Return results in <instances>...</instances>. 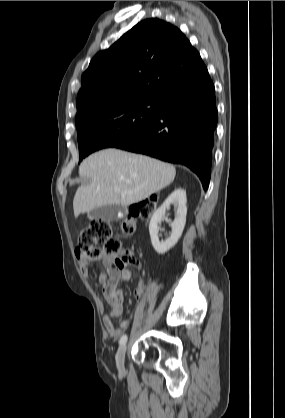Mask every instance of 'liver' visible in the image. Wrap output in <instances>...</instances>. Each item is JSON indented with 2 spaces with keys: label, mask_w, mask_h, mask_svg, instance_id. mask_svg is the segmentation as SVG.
Here are the masks:
<instances>
[{
  "label": "liver",
  "mask_w": 285,
  "mask_h": 418,
  "mask_svg": "<svg viewBox=\"0 0 285 418\" xmlns=\"http://www.w3.org/2000/svg\"><path fill=\"white\" fill-rule=\"evenodd\" d=\"M79 175L91 182L79 186L75 193V216L104 205L126 207L142 201L167 187L176 169L148 156L105 149L88 156L79 166Z\"/></svg>",
  "instance_id": "obj_1"
}]
</instances>
